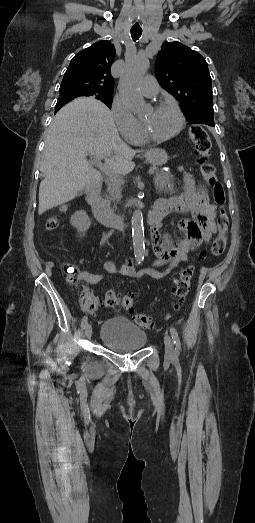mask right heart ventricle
I'll return each instance as SVG.
<instances>
[{"label":"right heart ventricle","mask_w":255,"mask_h":523,"mask_svg":"<svg viewBox=\"0 0 255 523\" xmlns=\"http://www.w3.org/2000/svg\"><path fill=\"white\" fill-rule=\"evenodd\" d=\"M132 142L134 143H140L141 142V136H140V130H138L133 136H132Z\"/></svg>","instance_id":"obj_1"}]
</instances>
